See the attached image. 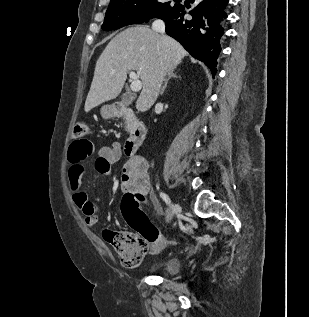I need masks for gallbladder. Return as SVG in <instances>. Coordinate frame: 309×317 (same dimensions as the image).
<instances>
[{
  "mask_svg": "<svg viewBox=\"0 0 309 317\" xmlns=\"http://www.w3.org/2000/svg\"><path fill=\"white\" fill-rule=\"evenodd\" d=\"M122 103L124 104V105H129L130 103H131V101H132V99H131V96L129 95V94H124L123 96H122Z\"/></svg>",
  "mask_w": 309,
  "mask_h": 317,
  "instance_id": "obj_1",
  "label": "gallbladder"
}]
</instances>
